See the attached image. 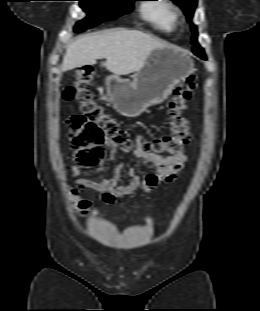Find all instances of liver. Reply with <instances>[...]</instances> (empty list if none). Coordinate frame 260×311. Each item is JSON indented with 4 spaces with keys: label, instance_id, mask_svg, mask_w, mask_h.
<instances>
[{
    "label": "liver",
    "instance_id": "liver-1",
    "mask_svg": "<svg viewBox=\"0 0 260 311\" xmlns=\"http://www.w3.org/2000/svg\"><path fill=\"white\" fill-rule=\"evenodd\" d=\"M168 46L142 31L117 29L80 37L67 47L62 71L94 65L106 59V69L117 75L138 71L154 49Z\"/></svg>",
    "mask_w": 260,
    "mask_h": 311
}]
</instances>
